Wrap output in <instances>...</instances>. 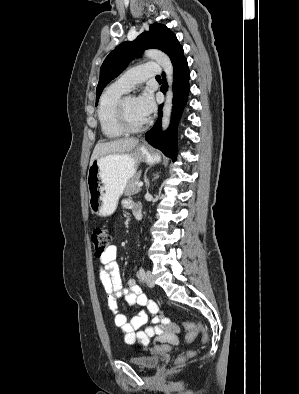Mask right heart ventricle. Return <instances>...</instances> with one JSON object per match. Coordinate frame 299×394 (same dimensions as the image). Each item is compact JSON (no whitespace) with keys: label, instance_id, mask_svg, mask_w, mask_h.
<instances>
[{"label":"right heart ventricle","instance_id":"right-heart-ventricle-1","mask_svg":"<svg viewBox=\"0 0 299 394\" xmlns=\"http://www.w3.org/2000/svg\"><path fill=\"white\" fill-rule=\"evenodd\" d=\"M127 91L116 83L108 86L103 92L97 110L98 120L103 135L109 139H116L124 135L115 119V108L119 99Z\"/></svg>","mask_w":299,"mask_h":394}]
</instances>
